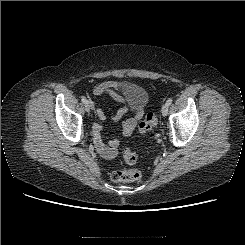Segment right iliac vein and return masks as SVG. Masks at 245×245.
Here are the masks:
<instances>
[{
    "label": "right iliac vein",
    "mask_w": 245,
    "mask_h": 245,
    "mask_svg": "<svg viewBox=\"0 0 245 245\" xmlns=\"http://www.w3.org/2000/svg\"><path fill=\"white\" fill-rule=\"evenodd\" d=\"M90 109H91V104H90L89 102H87V103L85 104V110H86L87 112H90Z\"/></svg>",
    "instance_id": "1"
}]
</instances>
